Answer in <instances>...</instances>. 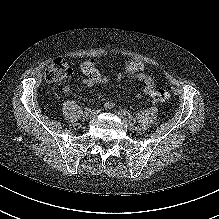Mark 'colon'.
<instances>
[{
	"label": "colon",
	"mask_w": 219,
	"mask_h": 219,
	"mask_svg": "<svg viewBox=\"0 0 219 219\" xmlns=\"http://www.w3.org/2000/svg\"><path fill=\"white\" fill-rule=\"evenodd\" d=\"M138 71L135 66L126 67V74L131 75ZM72 74V69L70 67L67 59L63 57H58L52 61L45 71V79L47 82H59ZM150 98L154 102H163L169 98V94L162 89L152 91L150 93Z\"/></svg>",
	"instance_id": "obj_1"
}]
</instances>
